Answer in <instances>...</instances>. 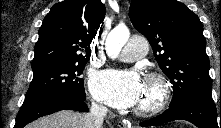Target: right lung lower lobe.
<instances>
[{
    "instance_id": "1",
    "label": "right lung lower lobe",
    "mask_w": 221,
    "mask_h": 128,
    "mask_svg": "<svg viewBox=\"0 0 221 128\" xmlns=\"http://www.w3.org/2000/svg\"><path fill=\"white\" fill-rule=\"evenodd\" d=\"M67 91H56L24 100L16 118L14 128H23L35 119L54 112L70 109L89 112L84 100Z\"/></svg>"
}]
</instances>
